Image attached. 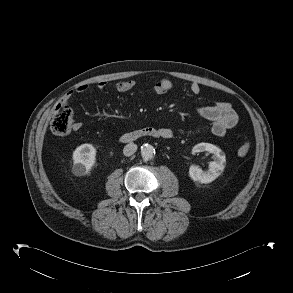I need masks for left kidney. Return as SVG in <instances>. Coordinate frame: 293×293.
<instances>
[{"mask_svg":"<svg viewBox=\"0 0 293 293\" xmlns=\"http://www.w3.org/2000/svg\"><path fill=\"white\" fill-rule=\"evenodd\" d=\"M207 151L212 154L213 161L209 162L208 169L203 171L198 166L192 165L189 168V176L195 182L211 183L214 181L225 168V154L217 146L210 143H199L192 149L193 154Z\"/></svg>","mask_w":293,"mask_h":293,"instance_id":"5707ae66","label":"left kidney"}]
</instances>
